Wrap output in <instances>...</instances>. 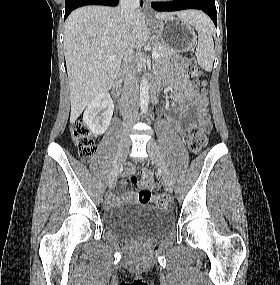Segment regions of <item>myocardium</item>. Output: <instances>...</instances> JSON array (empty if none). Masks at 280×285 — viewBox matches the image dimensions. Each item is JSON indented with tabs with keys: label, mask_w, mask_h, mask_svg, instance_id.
I'll list each match as a JSON object with an SVG mask.
<instances>
[{
	"label": "myocardium",
	"mask_w": 280,
	"mask_h": 285,
	"mask_svg": "<svg viewBox=\"0 0 280 285\" xmlns=\"http://www.w3.org/2000/svg\"><path fill=\"white\" fill-rule=\"evenodd\" d=\"M154 1H158V2H167V1H171V0H154Z\"/></svg>",
	"instance_id": "1"
}]
</instances>
